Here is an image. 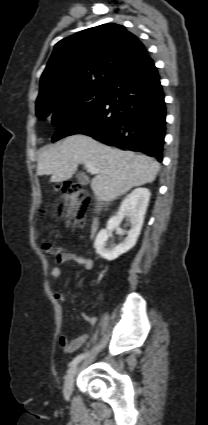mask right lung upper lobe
I'll return each mask as SVG.
<instances>
[{"label": "right lung upper lobe", "instance_id": "obj_1", "mask_svg": "<svg viewBox=\"0 0 208 425\" xmlns=\"http://www.w3.org/2000/svg\"><path fill=\"white\" fill-rule=\"evenodd\" d=\"M147 54L142 42L122 25L108 23L80 31L55 45L36 102L106 88Z\"/></svg>", "mask_w": 208, "mask_h": 425}]
</instances>
